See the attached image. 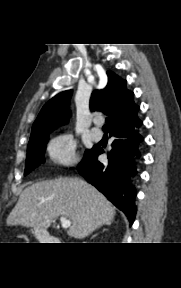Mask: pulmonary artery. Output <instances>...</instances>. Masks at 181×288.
<instances>
[{
	"label": "pulmonary artery",
	"instance_id": "e3ab8cb5",
	"mask_svg": "<svg viewBox=\"0 0 181 288\" xmlns=\"http://www.w3.org/2000/svg\"><path fill=\"white\" fill-rule=\"evenodd\" d=\"M91 136L94 140L98 141L102 139V131L99 128H92L91 129Z\"/></svg>",
	"mask_w": 181,
	"mask_h": 288
}]
</instances>
